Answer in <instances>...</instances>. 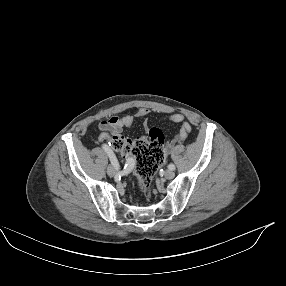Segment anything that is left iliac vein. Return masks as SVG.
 Segmentation results:
<instances>
[{
    "mask_svg": "<svg viewBox=\"0 0 286 286\" xmlns=\"http://www.w3.org/2000/svg\"><path fill=\"white\" fill-rule=\"evenodd\" d=\"M174 176H175V173L170 169L166 170L164 173V177L166 179H172V178H174Z\"/></svg>",
    "mask_w": 286,
    "mask_h": 286,
    "instance_id": "left-iliac-vein-1",
    "label": "left iliac vein"
}]
</instances>
